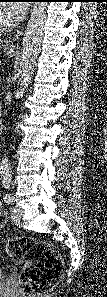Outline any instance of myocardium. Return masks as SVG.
Here are the masks:
<instances>
[{"label":"myocardium","instance_id":"myocardium-1","mask_svg":"<svg viewBox=\"0 0 107 297\" xmlns=\"http://www.w3.org/2000/svg\"><path fill=\"white\" fill-rule=\"evenodd\" d=\"M10 27V24H8V23H2L1 22V24H0V31H3V30H5V29H7V28H9Z\"/></svg>","mask_w":107,"mask_h":297}]
</instances>
